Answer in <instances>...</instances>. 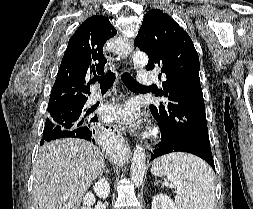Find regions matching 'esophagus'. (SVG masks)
Masks as SVG:
<instances>
[{
  "mask_svg": "<svg viewBox=\"0 0 253 209\" xmlns=\"http://www.w3.org/2000/svg\"><path fill=\"white\" fill-rule=\"evenodd\" d=\"M123 44H124V47L126 49V56L130 55V53L132 52L133 46L130 43L126 42V41H124ZM107 128L109 130L115 132L117 134V136H121V132H120V130L118 129V127L116 125H111L110 124V125H107Z\"/></svg>",
  "mask_w": 253,
  "mask_h": 209,
  "instance_id": "1",
  "label": "esophagus"
}]
</instances>
